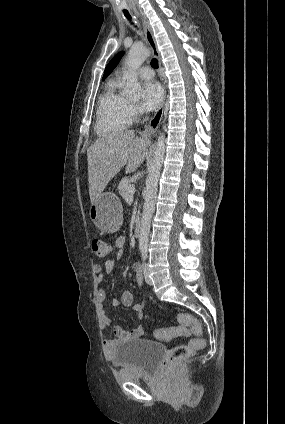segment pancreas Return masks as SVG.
I'll return each mask as SVG.
<instances>
[{
    "label": "pancreas",
    "mask_w": 285,
    "mask_h": 424,
    "mask_svg": "<svg viewBox=\"0 0 285 424\" xmlns=\"http://www.w3.org/2000/svg\"><path fill=\"white\" fill-rule=\"evenodd\" d=\"M130 186H132V183L128 177L122 178L118 185L119 194L125 200L128 199V197L130 196L128 191Z\"/></svg>",
    "instance_id": "obj_1"
}]
</instances>
